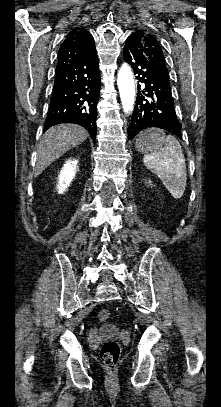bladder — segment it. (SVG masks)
<instances>
[{
    "label": "bladder",
    "instance_id": "bladder-1",
    "mask_svg": "<svg viewBox=\"0 0 221 407\" xmlns=\"http://www.w3.org/2000/svg\"><path fill=\"white\" fill-rule=\"evenodd\" d=\"M101 332L107 336L113 337L117 335L118 333V328L112 323L105 324L101 328Z\"/></svg>",
    "mask_w": 221,
    "mask_h": 407
}]
</instances>
